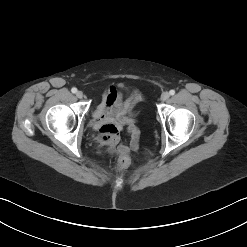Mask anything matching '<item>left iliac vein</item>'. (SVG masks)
<instances>
[{"label": "left iliac vein", "mask_w": 247, "mask_h": 247, "mask_svg": "<svg viewBox=\"0 0 247 247\" xmlns=\"http://www.w3.org/2000/svg\"><path fill=\"white\" fill-rule=\"evenodd\" d=\"M169 97H170V94L168 92H163L161 95V100L166 101L169 99Z\"/></svg>", "instance_id": "left-iliac-vein-1"}]
</instances>
